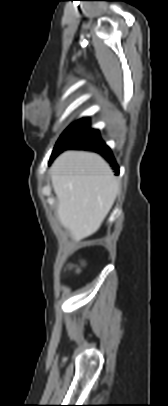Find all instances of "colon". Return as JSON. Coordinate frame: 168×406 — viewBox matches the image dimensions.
Here are the masks:
<instances>
[{
  "label": "colon",
  "instance_id": "colon-1",
  "mask_svg": "<svg viewBox=\"0 0 168 406\" xmlns=\"http://www.w3.org/2000/svg\"><path fill=\"white\" fill-rule=\"evenodd\" d=\"M68 269L75 272V273H80L81 272V267L79 265L71 264V265H69Z\"/></svg>",
  "mask_w": 168,
  "mask_h": 406
}]
</instances>
